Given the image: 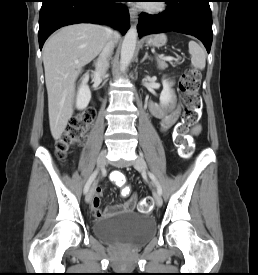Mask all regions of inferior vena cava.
<instances>
[{
	"mask_svg": "<svg viewBox=\"0 0 258 275\" xmlns=\"http://www.w3.org/2000/svg\"><path fill=\"white\" fill-rule=\"evenodd\" d=\"M107 34V42L103 47V50L96 62L95 75L99 77H104L106 75L107 69L109 67L108 58L111 56L114 48L113 30L109 27L105 28Z\"/></svg>",
	"mask_w": 258,
	"mask_h": 275,
	"instance_id": "inferior-vena-cava-1",
	"label": "inferior vena cava"
}]
</instances>
